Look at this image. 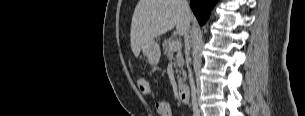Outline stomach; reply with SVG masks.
Returning <instances> with one entry per match:
<instances>
[{"mask_svg": "<svg viewBox=\"0 0 305 116\" xmlns=\"http://www.w3.org/2000/svg\"><path fill=\"white\" fill-rule=\"evenodd\" d=\"M142 53L147 58L150 65L154 66L158 64L161 56V50L159 44L155 40L147 42L142 47Z\"/></svg>", "mask_w": 305, "mask_h": 116, "instance_id": "obj_1", "label": "stomach"}]
</instances>
